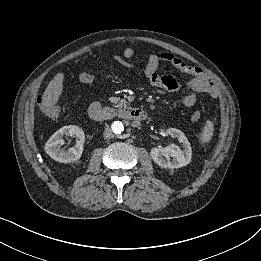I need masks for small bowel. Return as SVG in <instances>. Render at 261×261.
I'll return each mask as SVG.
<instances>
[{
    "label": "small bowel",
    "mask_w": 261,
    "mask_h": 261,
    "mask_svg": "<svg viewBox=\"0 0 261 261\" xmlns=\"http://www.w3.org/2000/svg\"><path fill=\"white\" fill-rule=\"evenodd\" d=\"M136 54V51L132 47L124 49L121 55L114 57L115 61L121 65L129 66V60L132 59ZM147 63L144 69L145 75L149 83L156 88L164 89L167 91H177L180 89V83L176 77L170 75H160L158 73V67L160 62L165 61L171 63L176 68L182 69L184 62L177 56L171 53H147L145 55ZM195 68V66H190ZM192 75L190 72H186ZM94 80V74L92 72H84L80 75V81L84 84H90ZM190 83V82H189ZM189 87V85H188ZM190 89V88H189ZM211 95L214 94L213 89L206 90ZM197 103V95L192 91L183 98V104L186 107H193Z\"/></svg>",
    "instance_id": "obj_1"
}]
</instances>
